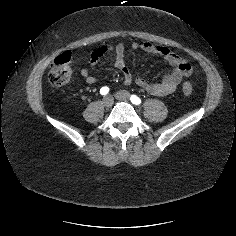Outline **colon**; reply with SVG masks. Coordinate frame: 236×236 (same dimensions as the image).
Here are the masks:
<instances>
[{
  "instance_id": "obj_1",
  "label": "colon",
  "mask_w": 236,
  "mask_h": 236,
  "mask_svg": "<svg viewBox=\"0 0 236 236\" xmlns=\"http://www.w3.org/2000/svg\"><path fill=\"white\" fill-rule=\"evenodd\" d=\"M71 62L72 54L69 52L63 53L54 59L48 74V80L52 86L61 87L70 82L72 77ZM183 92L186 96L192 94L190 82H184Z\"/></svg>"
}]
</instances>
